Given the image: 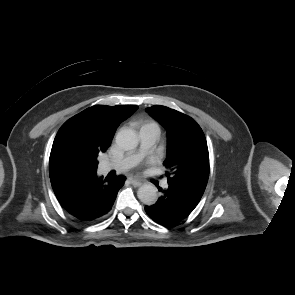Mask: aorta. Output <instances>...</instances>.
Segmentation results:
<instances>
[{
  "label": "aorta",
  "mask_w": 295,
  "mask_h": 295,
  "mask_svg": "<svg viewBox=\"0 0 295 295\" xmlns=\"http://www.w3.org/2000/svg\"><path fill=\"white\" fill-rule=\"evenodd\" d=\"M116 144L123 150H133L138 146V137L134 130L121 129L116 135ZM139 200L146 205H153L158 199L157 189L152 184L142 185L138 191Z\"/></svg>",
  "instance_id": "762f6f07"
}]
</instances>
